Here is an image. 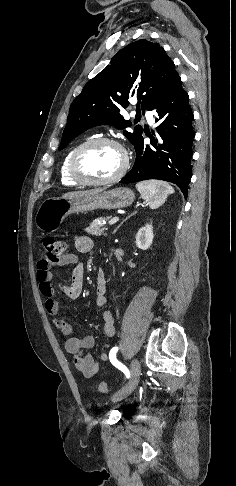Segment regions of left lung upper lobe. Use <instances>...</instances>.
Instances as JSON below:
<instances>
[{
  "mask_svg": "<svg viewBox=\"0 0 236 486\" xmlns=\"http://www.w3.org/2000/svg\"><path fill=\"white\" fill-rule=\"evenodd\" d=\"M177 77L173 61L158 43L143 39L127 45L111 59L110 65L85 85L71 104L59 150L93 126L130 127L131 122L119 114L122 108L128 107V98H138L137 115H140L142 100L144 114V109L148 110ZM142 132L143 128L137 125L133 133L124 131L123 134L135 145Z\"/></svg>",
  "mask_w": 236,
  "mask_h": 486,
  "instance_id": "5c2ea615",
  "label": "left lung upper lobe"
}]
</instances>
